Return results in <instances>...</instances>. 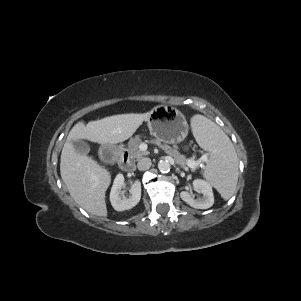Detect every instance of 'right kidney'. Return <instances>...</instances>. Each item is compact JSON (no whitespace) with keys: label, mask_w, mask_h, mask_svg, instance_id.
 <instances>
[{"label":"right kidney","mask_w":301,"mask_h":301,"mask_svg":"<svg viewBox=\"0 0 301 301\" xmlns=\"http://www.w3.org/2000/svg\"><path fill=\"white\" fill-rule=\"evenodd\" d=\"M123 185L124 176L122 174H118L114 179L110 192L111 205L116 211L120 212L132 209L139 203L141 199V183L139 181H135L131 186V196H129L128 198L123 194Z\"/></svg>","instance_id":"obj_1"}]
</instances>
